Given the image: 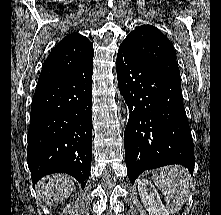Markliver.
<instances>
[{
	"mask_svg": "<svg viewBox=\"0 0 221 215\" xmlns=\"http://www.w3.org/2000/svg\"><path fill=\"white\" fill-rule=\"evenodd\" d=\"M75 188L73 179L64 174H53L42 178L36 191L50 207L63 202Z\"/></svg>",
	"mask_w": 221,
	"mask_h": 215,
	"instance_id": "liver-1",
	"label": "liver"
}]
</instances>
